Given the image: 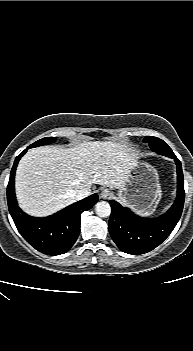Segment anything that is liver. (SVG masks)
I'll return each mask as SVG.
<instances>
[{
	"instance_id": "1",
	"label": "liver",
	"mask_w": 193,
	"mask_h": 351,
	"mask_svg": "<svg viewBox=\"0 0 193 351\" xmlns=\"http://www.w3.org/2000/svg\"><path fill=\"white\" fill-rule=\"evenodd\" d=\"M133 163L128 148L110 141L33 148L16 171L19 205L32 216H47L74 203L81 189H95L96 184L123 189Z\"/></svg>"
}]
</instances>
